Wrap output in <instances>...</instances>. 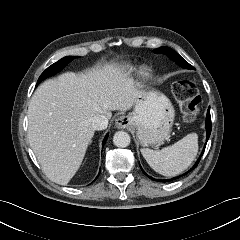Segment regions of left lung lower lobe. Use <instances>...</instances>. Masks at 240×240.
Segmentation results:
<instances>
[{"label":"left lung lower lobe","instance_id":"1","mask_svg":"<svg viewBox=\"0 0 240 240\" xmlns=\"http://www.w3.org/2000/svg\"><path fill=\"white\" fill-rule=\"evenodd\" d=\"M211 129H212V126H211V116H210V108L208 109V111H207V116H206V131H207V135H206V141L209 139V137H210V134H211ZM206 147V146H205ZM205 147H204V150H205ZM204 150H203V152H202V154L204 153ZM202 154H201V156H202ZM200 159H201V157H199V159L197 160V162L194 164V166L188 171V172H190V171H192L194 168H196V166H197V164L199 163V161H200ZM141 167V166H140ZM142 169V168H141ZM144 172V171H143ZM188 172H186L185 174H187ZM185 174H183V175H185ZM146 176H148L147 174H146ZM150 179H152V180H154L152 177H150V176H148ZM180 176H178V177H175V178H173V179H177V178H179ZM172 179H166V180H157V181H163V182H166V181H171Z\"/></svg>","mask_w":240,"mask_h":240}]
</instances>
